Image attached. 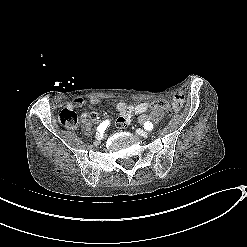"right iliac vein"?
I'll return each instance as SVG.
<instances>
[{
  "mask_svg": "<svg viewBox=\"0 0 247 247\" xmlns=\"http://www.w3.org/2000/svg\"><path fill=\"white\" fill-rule=\"evenodd\" d=\"M95 138H96L97 140H101V139H102V133L97 132L96 135H95Z\"/></svg>",
  "mask_w": 247,
  "mask_h": 247,
  "instance_id": "right-iliac-vein-1",
  "label": "right iliac vein"
}]
</instances>
